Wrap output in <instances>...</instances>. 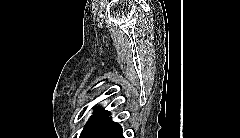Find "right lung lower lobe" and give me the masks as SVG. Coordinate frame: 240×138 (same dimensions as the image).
Segmentation results:
<instances>
[{"label": "right lung lower lobe", "mask_w": 240, "mask_h": 138, "mask_svg": "<svg viewBox=\"0 0 240 138\" xmlns=\"http://www.w3.org/2000/svg\"><path fill=\"white\" fill-rule=\"evenodd\" d=\"M87 138H124L122 127L111 118H107L101 125L96 127Z\"/></svg>", "instance_id": "right-lung-lower-lobe-1"}]
</instances>
